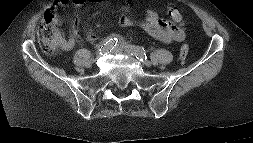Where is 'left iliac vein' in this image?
<instances>
[{
  "mask_svg": "<svg viewBox=\"0 0 253 143\" xmlns=\"http://www.w3.org/2000/svg\"><path fill=\"white\" fill-rule=\"evenodd\" d=\"M125 51L129 54H132V45H127L125 47ZM143 63L146 65V66H151V62L150 61H146L144 60Z\"/></svg>",
  "mask_w": 253,
  "mask_h": 143,
  "instance_id": "1",
  "label": "left iliac vein"
}]
</instances>
